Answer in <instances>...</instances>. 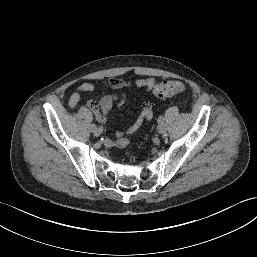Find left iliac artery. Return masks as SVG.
Here are the masks:
<instances>
[{
	"instance_id": "1",
	"label": "left iliac artery",
	"mask_w": 257,
	"mask_h": 257,
	"mask_svg": "<svg viewBox=\"0 0 257 257\" xmlns=\"http://www.w3.org/2000/svg\"><path fill=\"white\" fill-rule=\"evenodd\" d=\"M157 122L159 124L163 123L164 122V117L163 116H159L158 119H157Z\"/></svg>"
}]
</instances>
